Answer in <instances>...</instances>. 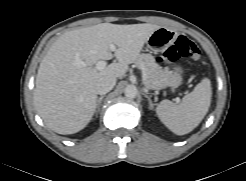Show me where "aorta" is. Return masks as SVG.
I'll return each mask as SVG.
<instances>
[{"instance_id":"1","label":"aorta","mask_w":246,"mask_h":181,"mask_svg":"<svg viewBox=\"0 0 246 181\" xmlns=\"http://www.w3.org/2000/svg\"><path fill=\"white\" fill-rule=\"evenodd\" d=\"M124 94L127 98H135L138 94V90L136 88V86L134 85H128L125 89H124Z\"/></svg>"}]
</instances>
